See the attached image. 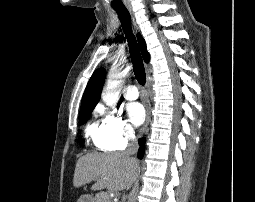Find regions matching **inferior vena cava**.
I'll use <instances>...</instances> for the list:
<instances>
[{"instance_id": "obj_1", "label": "inferior vena cava", "mask_w": 255, "mask_h": 202, "mask_svg": "<svg viewBox=\"0 0 255 202\" xmlns=\"http://www.w3.org/2000/svg\"><path fill=\"white\" fill-rule=\"evenodd\" d=\"M137 149H138V144H137L136 138L134 137V134L131 133V144H130V147L127 149V151H125V155L130 157L137 152ZM130 159L133 162H136V163L138 162L135 157H130Z\"/></svg>"}]
</instances>
